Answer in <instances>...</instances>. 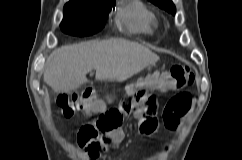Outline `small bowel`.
Wrapping results in <instances>:
<instances>
[{
  "mask_svg": "<svg viewBox=\"0 0 242 160\" xmlns=\"http://www.w3.org/2000/svg\"><path fill=\"white\" fill-rule=\"evenodd\" d=\"M124 101V100H123ZM122 104L123 102L121 103L119 109H122ZM165 121V119H164ZM143 123H144V120L143 119H139V125H140V132L142 134H149V133H144L142 131V126H143ZM180 123V117H176L175 118V121L173 123L172 126H169L167 124V122L165 121V124L167 125V127L170 129V130H176L178 125ZM124 138V133L123 131L120 129V127L110 133H107L105 134L104 136H102L99 140V147L98 148H94L92 149L89 145H86V149L88 151V154L91 158H95L100 147H109V146H115V145H118L122 142Z\"/></svg>",
  "mask_w": 242,
  "mask_h": 160,
  "instance_id": "small-bowel-1",
  "label": "small bowel"
}]
</instances>
